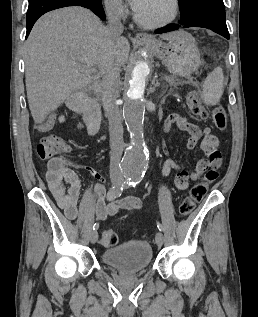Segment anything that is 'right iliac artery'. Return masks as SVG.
Masks as SVG:
<instances>
[{
	"mask_svg": "<svg viewBox=\"0 0 258 317\" xmlns=\"http://www.w3.org/2000/svg\"><path fill=\"white\" fill-rule=\"evenodd\" d=\"M130 182H124L122 184H117L112 186L107 193V200L112 201L117 197L121 196L123 190H125L128 186H130ZM99 227V223H95L93 225V230H97Z\"/></svg>",
	"mask_w": 258,
	"mask_h": 317,
	"instance_id": "1",
	"label": "right iliac artery"
}]
</instances>
